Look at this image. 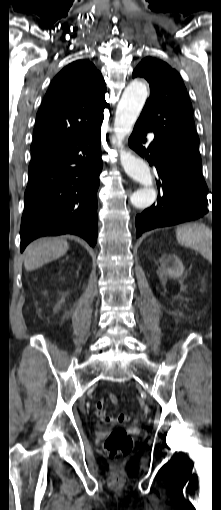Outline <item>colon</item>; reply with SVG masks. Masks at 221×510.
<instances>
[{"instance_id":"obj_1","label":"colon","mask_w":221,"mask_h":510,"mask_svg":"<svg viewBox=\"0 0 221 510\" xmlns=\"http://www.w3.org/2000/svg\"><path fill=\"white\" fill-rule=\"evenodd\" d=\"M112 404H117L118 399L115 395L109 398ZM120 423L129 421V416L126 414H119L116 418ZM104 449L110 461L118 465L131 451L132 439L129 433L124 428H116L107 436Z\"/></svg>"}]
</instances>
